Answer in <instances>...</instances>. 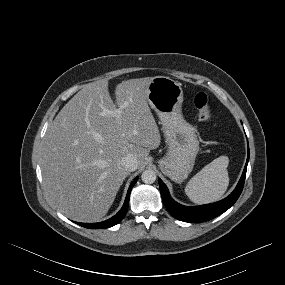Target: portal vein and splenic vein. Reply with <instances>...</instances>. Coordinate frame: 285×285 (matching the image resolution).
<instances>
[{"instance_id":"portal-vein-and-splenic-vein-1","label":"portal vein and splenic vein","mask_w":285,"mask_h":285,"mask_svg":"<svg viewBox=\"0 0 285 285\" xmlns=\"http://www.w3.org/2000/svg\"><path fill=\"white\" fill-rule=\"evenodd\" d=\"M123 108H124V106H121L120 108L115 109V110H112V111H110V110H105L104 113H105V114H112V115H114V116L120 117L121 114H122Z\"/></svg>"}]
</instances>
